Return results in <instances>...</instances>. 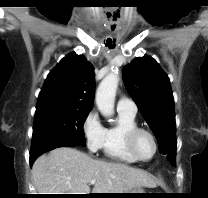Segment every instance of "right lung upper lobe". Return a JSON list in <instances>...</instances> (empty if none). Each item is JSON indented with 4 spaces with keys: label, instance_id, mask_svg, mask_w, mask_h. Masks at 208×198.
Wrapping results in <instances>:
<instances>
[{
    "label": "right lung upper lobe",
    "instance_id": "1",
    "mask_svg": "<svg viewBox=\"0 0 208 198\" xmlns=\"http://www.w3.org/2000/svg\"><path fill=\"white\" fill-rule=\"evenodd\" d=\"M94 69L83 55L72 52L48 74L39 94L36 109L73 106L92 109Z\"/></svg>",
    "mask_w": 208,
    "mask_h": 198
}]
</instances>
